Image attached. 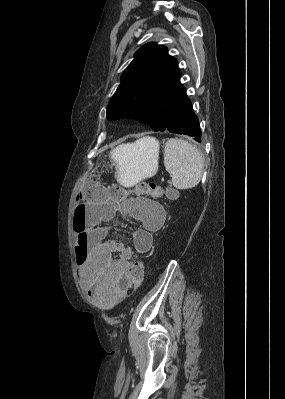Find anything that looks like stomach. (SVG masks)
<instances>
[{
	"label": "stomach",
	"mask_w": 285,
	"mask_h": 399,
	"mask_svg": "<svg viewBox=\"0 0 285 399\" xmlns=\"http://www.w3.org/2000/svg\"><path fill=\"white\" fill-rule=\"evenodd\" d=\"M115 161L117 180L132 186L152 177L158 170L159 143L151 137L123 144L111 151Z\"/></svg>",
	"instance_id": "0dacf381"
}]
</instances>
